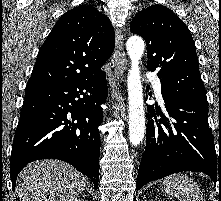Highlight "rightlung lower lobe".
<instances>
[{
    "label": "right lung lower lobe",
    "instance_id": "right-lung-lower-lobe-1",
    "mask_svg": "<svg viewBox=\"0 0 221 201\" xmlns=\"http://www.w3.org/2000/svg\"><path fill=\"white\" fill-rule=\"evenodd\" d=\"M86 91V92H84ZM105 73L58 85H27L12 145L13 191L20 171L30 162L63 160L98 187L100 135L105 103Z\"/></svg>",
    "mask_w": 221,
    "mask_h": 201
}]
</instances>
